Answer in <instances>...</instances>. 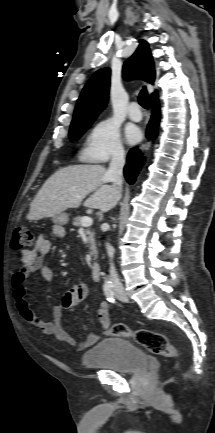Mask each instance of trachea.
I'll list each match as a JSON object with an SVG mask.
<instances>
[{
	"label": "trachea",
	"mask_w": 215,
	"mask_h": 433,
	"mask_svg": "<svg viewBox=\"0 0 215 433\" xmlns=\"http://www.w3.org/2000/svg\"><path fill=\"white\" fill-rule=\"evenodd\" d=\"M138 101L139 104L145 108L148 109L149 108V100H148V93L145 87H143V89L141 90L139 96H138Z\"/></svg>",
	"instance_id": "3493384b"
}]
</instances>
